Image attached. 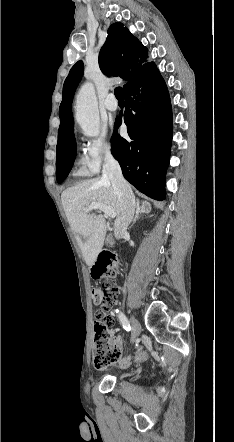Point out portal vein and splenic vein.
<instances>
[{
	"instance_id": "obj_1",
	"label": "portal vein and splenic vein",
	"mask_w": 234,
	"mask_h": 442,
	"mask_svg": "<svg viewBox=\"0 0 234 442\" xmlns=\"http://www.w3.org/2000/svg\"><path fill=\"white\" fill-rule=\"evenodd\" d=\"M93 209H99L105 214V216H109L111 218H114L116 216L115 211L111 207L100 202H92L84 211L88 213Z\"/></svg>"
}]
</instances>
